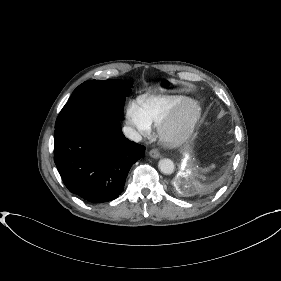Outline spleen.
<instances>
[{
  "instance_id": "3e777b00",
  "label": "spleen",
  "mask_w": 281,
  "mask_h": 281,
  "mask_svg": "<svg viewBox=\"0 0 281 281\" xmlns=\"http://www.w3.org/2000/svg\"><path fill=\"white\" fill-rule=\"evenodd\" d=\"M214 167H215V165L212 164L209 168H204V169H202V171H208V170H210V168H214Z\"/></svg>"
}]
</instances>
